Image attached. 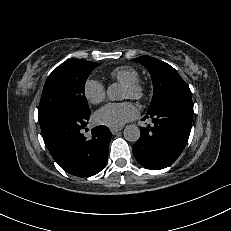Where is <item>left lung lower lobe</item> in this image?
<instances>
[{"mask_svg": "<svg viewBox=\"0 0 231 231\" xmlns=\"http://www.w3.org/2000/svg\"><path fill=\"white\" fill-rule=\"evenodd\" d=\"M148 118L154 125L141 128L132 150L142 166L160 170L170 166L186 146L193 118L192 98H170L148 111L142 120Z\"/></svg>", "mask_w": 231, "mask_h": 231, "instance_id": "1", "label": "left lung lower lobe"}]
</instances>
